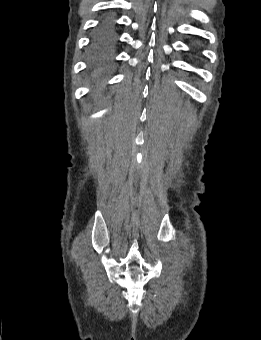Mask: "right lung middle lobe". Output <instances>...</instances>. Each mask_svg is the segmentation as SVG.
<instances>
[{"mask_svg":"<svg viewBox=\"0 0 261 340\" xmlns=\"http://www.w3.org/2000/svg\"><path fill=\"white\" fill-rule=\"evenodd\" d=\"M115 36L114 23L111 16H106L97 26L93 41L97 44L105 43L112 40Z\"/></svg>","mask_w":261,"mask_h":340,"instance_id":"1","label":"right lung middle lobe"}]
</instances>
